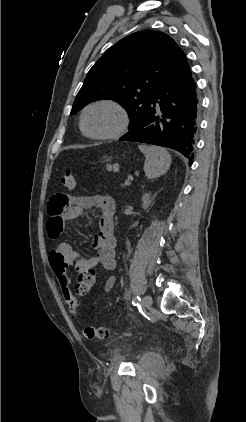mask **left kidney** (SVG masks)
I'll use <instances>...</instances> for the list:
<instances>
[{"instance_id":"5707ae66","label":"left kidney","mask_w":246,"mask_h":422,"mask_svg":"<svg viewBox=\"0 0 246 422\" xmlns=\"http://www.w3.org/2000/svg\"><path fill=\"white\" fill-rule=\"evenodd\" d=\"M150 205H151V195H150V193H145L142 196L143 209L147 210L150 207Z\"/></svg>"}]
</instances>
